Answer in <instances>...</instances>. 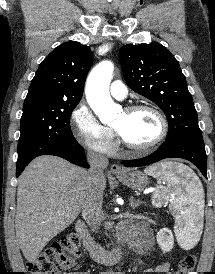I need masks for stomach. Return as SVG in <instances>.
<instances>
[{
  "mask_svg": "<svg viewBox=\"0 0 215 274\" xmlns=\"http://www.w3.org/2000/svg\"><path fill=\"white\" fill-rule=\"evenodd\" d=\"M117 178L126 186L134 190L144 189L149 184L147 174L139 170L130 171L123 175H117Z\"/></svg>",
  "mask_w": 215,
  "mask_h": 274,
  "instance_id": "1",
  "label": "stomach"
}]
</instances>
